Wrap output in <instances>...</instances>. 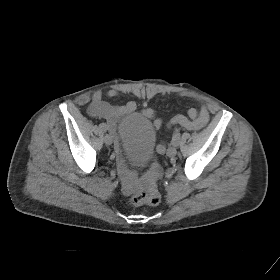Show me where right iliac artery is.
<instances>
[{"label": "right iliac artery", "mask_w": 280, "mask_h": 280, "mask_svg": "<svg viewBox=\"0 0 280 280\" xmlns=\"http://www.w3.org/2000/svg\"><path fill=\"white\" fill-rule=\"evenodd\" d=\"M100 129H101L102 131H107V125H106L105 123H101V124H100Z\"/></svg>", "instance_id": "obj_1"}]
</instances>
